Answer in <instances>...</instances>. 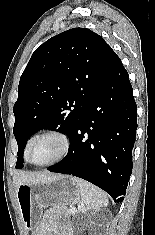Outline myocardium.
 <instances>
[{"label": "myocardium", "instance_id": "f54148a6", "mask_svg": "<svg viewBox=\"0 0 155 235\" xmlns=\"http://www.w3.org/2000/svg\"><path fill=\"white\" fill-rule=\"evenodd\" d=\"M47 136L58 137L62 141L63 149H62L61 153L56 158H54L46 163H41V164L34 163L33 161H31L30 156H29L30 150L36 141H38L39 139H41L43 137H47ZM71 150H72V141H71L70 136L66 132L59 130V129H49V130H46L44 132H41V133L35 135V137L31 141V143L27 147V150L25 153V159L28 163H30L34 166L47 167V166L55 165V164L60 163L63 160H65L69 156Z\"/></svg>", "mask_w": 155, "mask_h": 235}]
</instances>
